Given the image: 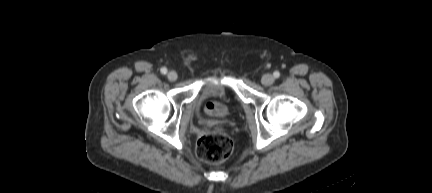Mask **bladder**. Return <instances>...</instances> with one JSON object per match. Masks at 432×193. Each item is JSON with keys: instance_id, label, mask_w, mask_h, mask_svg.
Returning a JSON list of instances; mask_svg holds the SVG:
<instances>
[{"instance_id": "bladder-1", "label": "bladder", "mask_w": 432, "mask_h": 193, "mask_svg": "<svg viewBox=\"0 0 432 193\" xmlns=\"http://www.w3.org/2000/svg\"><path fill=\"white\" fill-rule=\"evenodd\" d=\"M214 99L223 102L228 108L231 105V100L226 89L219 85H210L203 88L194 102L197 106L202 107L207 102Z\"/></svg>"}]
</instances>
